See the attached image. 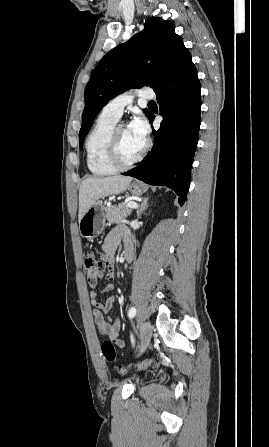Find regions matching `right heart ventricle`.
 <instances>
[{"instance_id":"obj_1","label":"right heart ventricle","mask_w":269,"mask_h":447,"mask_svg":"<svg viewBox=\"0 0 269 447\" xmlns=\"http://www.w3.org/2000/svg\"><path fill=\"white\" fill-rule=\"evenodd\" d=\"M116 121L102 111L87 137V165L94 175H108L117 170L108 158L109 135Z\"/></svg>"}]
</instances>
